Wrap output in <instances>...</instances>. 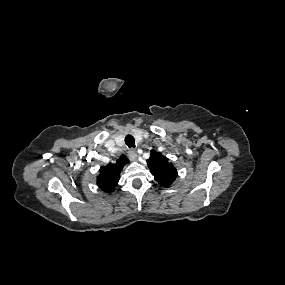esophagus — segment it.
I'll use <instances>...</instances> for the list:
<instances>
[{
	"instance_id": "esophagus-1",
	"label": "esophagus",
	"mask_w": 285,
	"mask_h": 285,
	"mask_svg": "<svg viewBox=\"0 0 285 285\" xmlns=\"http://www.w3.org/2000/svg\"><path fill=\"white\" fill-rule=\"evenodd\" d=\"M128 156L130 158V160L134 161L136 160L137 158V153H136V150L131 148L129 151H128Z\"/></svg>"
}]
</instances>
